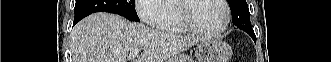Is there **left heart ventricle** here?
<instances>
[{
	"label": "left heart ventricle",
	"instance_id": "left-heart-ventricle-1",
	"mask_svg": "<svg viewBox=\"0 0 331 62\" xmlns=\"http://www.w3.org/2000/svg\"><path fill=\"white\" fill-rule=\"evenodd\" d=\"M188 13L196 25L207 31L219 29L224 21V8L218 0H194Z\"/></svg>",
	"mask_w": 331,
	"mask_h": 62
}]
</instances>
